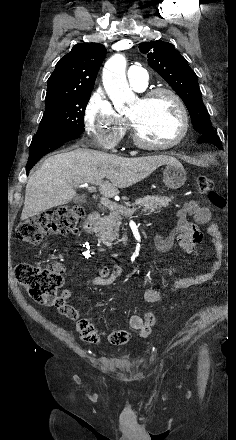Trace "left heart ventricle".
<instances>
[{
  "label": "left heart ventricle",
  "mask_w": 236,
  "mask_h": 440,
  "mask_svg": "<svg viewBox=\"0 0 236 440\" xmlns=\"http://www.w3.org/2000/svg\"><path fill=\"white\" fill-rule=\"evenodd\" d=\"M128 117L135 123L141 136L154 144L172 141L181 129L178 109L168 95H159L146 102L138 99Z\"/></svg>",
  "instance_id": "obj_1"
}]
</instances>
